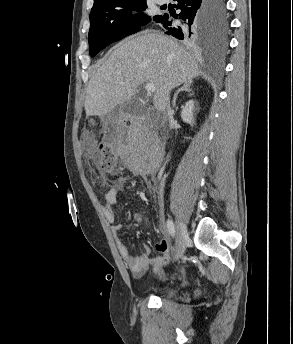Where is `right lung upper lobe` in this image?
<instances>
[{"mask_svg":"<svg viewBox=\"0 0 293 344\" xmlns=\"http://www.w3.org/2000/svg\"><path fill=\"white\" fill-rule=\"evenodd\" d=\"M117 1H120V0H94V5L92 7V10L112 4Z\"/></svg>","mask_w":293,"mask_h":344,"instance_id":"right-lung-upper-lobe-1","label":"right lung upper lobe"}]
</instances>
